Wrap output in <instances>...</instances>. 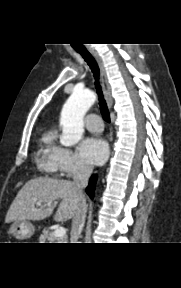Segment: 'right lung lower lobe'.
Segmentation results:
<instances>
[{
  "mask_svg": "<svg viewBox=\"0 0 181 288\" xmlns=\"http://www.w3.org/2000/svg\"><path fill=\"white\" fill-rule=\"evenodd\" d=\"M96 180H97V175H92L89 181V185L86 188V192L91 198L94 197V189H95Z\"/></svg>",
  "mask_w": 181,
  "mask_h": 288,
  "instance_id": "right-lung-lower-lobe-1",
  "label": "right lung lower lobe"
}]
</instances>
